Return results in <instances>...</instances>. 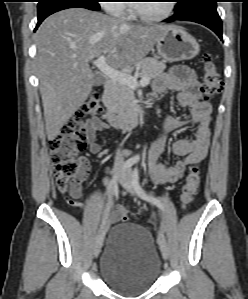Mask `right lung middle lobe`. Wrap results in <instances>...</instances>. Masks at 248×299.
<instances>
[{"mask_svg": "<svg viewBox=\"0 0 248 299\" xmlns=\"http://www.w3.org/2000/svg\"><path fill=\"white\" fill-rule=\"evenodd\" d=\"M98 1L99 0H39L38 12L59 2H75L99 10L100 6Z\"/></svg>", "mask_w": 248, "mask_h": 299, "instance_id": "right-lung-middle-lobe-1", "label": "right lung middle lobe"}]
</instances>
